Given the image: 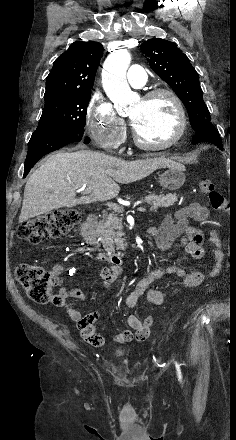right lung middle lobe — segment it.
I'll list each match as a JSON object with an SVG mask.
<instances>
[{"label":"right lung middle lobe","mask_w":236,"mask_h":440,"mask_svg":"<svg viewBox=\"0 0 236 440\" xmlns=\"http://www.w3.org/2000/svg\"><path fill=\"white\" fill-rule=\"evenodd\" d=\"M90 93L45 103L35 132L76 131L84 133Z\"/></svg>","instance_id":"right-lung-middle-lobe-1"}]
</instances>
